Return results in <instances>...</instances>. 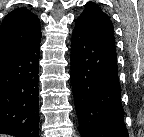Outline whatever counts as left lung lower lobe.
Instances as JSON below:
<instances>
[{"instance_id": "left-lung-lower-lobe-1", "label": "left lung lower lobe", "mask_w": 144, "mask_h": 137, "mask_svg": "<svg viewBox=\"0 0 144 137\" xmlns=\"http://www.w3.org/2000/svg\"><path fill=\"white\" fill-rule=\"evenodd\" d=\"M71 82L82 137H128L114 41L75 24Z\"/></svg>"}]
</instances>
